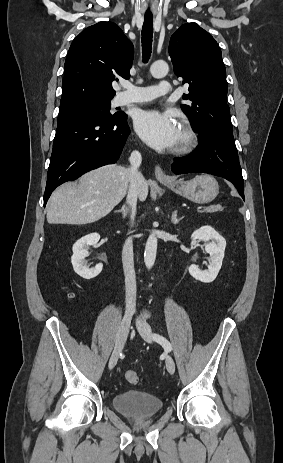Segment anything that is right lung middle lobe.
<instances>
[{
    "instance_id": "obj_1",
    "label": "right lung middle lobe",
    "mask_w": 283,
    "mask_h": 463,
    "mask_svg": "<svg viewBox=\"0 0 283 463\" xmlns=\"http://www.w3.org/2000/svg\"><path fill=\"white\" fill-rule=\"evenodd\" d=\"M110 105L111 99H91L64 109H60L57 123H61L84 114H99L108 118L117 117L119 114L115 113L112 115L109 112Z\"/></svg>"
}]
</instances>
